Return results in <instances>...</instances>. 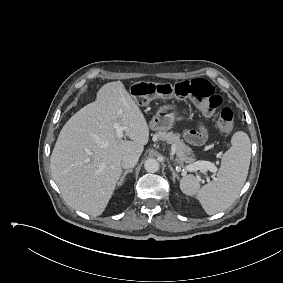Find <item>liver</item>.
I'll use <instances>...</instances> for the list:
<instances>
[{"label": "liver", "instance_id": "6515ba94", "mask_svg": "<svg viewBox=\"0 0 283 283\" xmlns=\"http://www.w3.org/2000/svg\"><path fill=\"white\" fill-rule=\"evenodd\" d=\"M115 124L126 127L131 140L119 138ZM148 141L147 121L123 83L102 86L96 101L66 122L52 152V177L64 200L91 216L101 215L122 174V158L140 156Z\"/></svg>", "mask_w": 283, "mask_h": 283}]
</instances>
